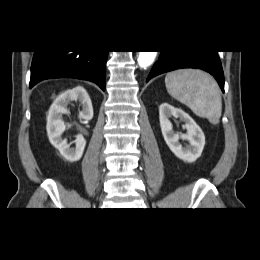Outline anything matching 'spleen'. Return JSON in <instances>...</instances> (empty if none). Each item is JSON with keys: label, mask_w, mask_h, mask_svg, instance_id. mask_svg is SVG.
<instances>
[{"label": "spleen", "mask_w": 260, "mask_h": 260, "mask_svg": "<svg viewBox=\"0 0 260 260\" xmlns=\"http://www.w3.org/2000/svg\"><path fill=\"white\" fill-rule=\"evenodd\" d=\"M168 93L189 107L194 114L217 125L222 113L220 88L208 73L195 69H181L165 77Z\"/></svg>", "instance_id": "1"}]
</instances>
